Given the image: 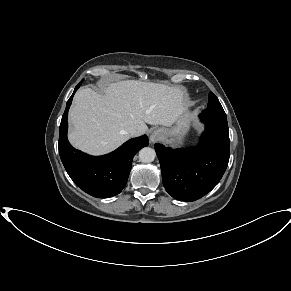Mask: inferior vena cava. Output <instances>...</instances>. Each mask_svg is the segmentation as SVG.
I'll use <instances>...</instances> for the list:
<instances>
[{"instance_id": "inferior-vena-cava-1", "label": "inferior vena cava", "mask_w": 291, "mask_h": 291, "mask_svg": "<svg viewBox=\"0 0 291 291\" xmlns=\"http://www.w3.org/2000/svg\"><path fill=\"white\" fill-rule=\"evenodd\" d=\"M143 134V132L141 131V130H138V129H133V130H131V132H130V135L131 136H140V135H142Z\"/></svg>"}]
</instances>
